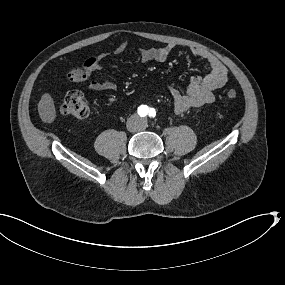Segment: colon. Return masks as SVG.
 Masks as SVG:
<instances>
[{
	"label": "colon",
	"instance_id": "5ec220e1",
	"mask_svg": "<svg viewBox=\"0 0 285 285\" xmlns=\"http://www.w3.org/2000/svg\"><path fill=\"white\" fill-rule=\"evenodd\" d=\"M68 76L74 82H81L85 80L87 75L84 69L72 68ZM226 96L230 100L235 99L237 92L230 89L227 91ZM60 111L63 115L76 119H85L89 115L86 99L79 91H70L66 94Z\"/></svg>",
	"mask_w": 285,
	"mask_h": 285
}]
</instances>
